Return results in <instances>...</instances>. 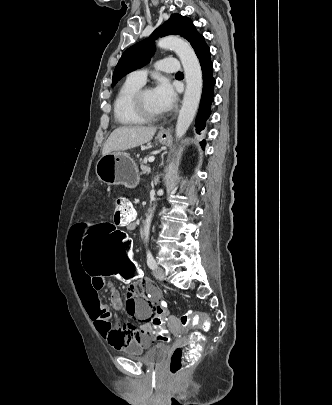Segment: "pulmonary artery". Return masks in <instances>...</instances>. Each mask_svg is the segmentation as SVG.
Here are the masks:
<instances>
[{"instance_id": "obj_1", "label": "pulmonary artery", "mask_w": 332, "mask_h": 405, "mask_svg": "<svg viewBox=\"0 0 332 405\" xmlns=\"http://www.w3.org/2000/svg\"><path fill=\"white\" fill-rule=\"evenodd\" d=\"M158 69L165 73H177L179 71V63L174 58H164L158 62ZM129 78L144 84L147 78V71L144 69L136 70L130 74Z\"/></svg>"}]
</instances>
